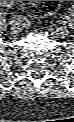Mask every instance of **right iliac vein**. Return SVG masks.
I'll return each mask as SVG.
<instances>
[{
  "instance_id": "right-iliac-vein-1",
  "label": "right iliac vein",
  "mask_w": 74,
  "mask_h": 122,
  "mask_svg": "<svg viewBox=\"0 0 74 122\" xmlns=\"http://www.w3.org/2000/svg\"><path fill=\"white\" fill-rule=\"evenodd\" d=\"M16 25H17V24H16ZM16 25L13 24V27H12V31H13L14 33L17 32V27H16Z\"/></svg>"
}]
</instances>
